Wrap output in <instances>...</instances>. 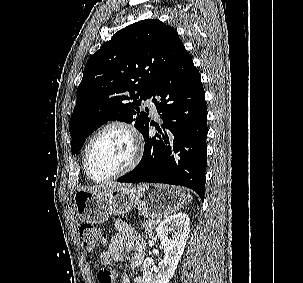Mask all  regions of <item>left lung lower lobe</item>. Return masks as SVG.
I'll return each instance as SVG.
<instances>
[{"mask_svg":"<svg viewBox=\"0 0 303 283\" xmlns=\"http://www.w3.org/2000/svg\"><path fill=\"white\" fill-rule=\"evenodd\" d=\"M152 96L163 120L159 134L141 132L145 150L138 166L120 177L126 183H165L205 194L207 109L200 73L184 49Z\"/></svg>","mask_w":303,"mask_h":283,"instance_id":"0a47b994","label":"left lung lower lobe"}]
</instances>
